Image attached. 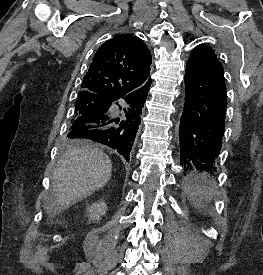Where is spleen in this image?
Instances as JSON below:
<instances>
[{"label":"spleen","instance_id":"3e777b00","mask_svg":"<svg viewBox=\"0 0 263 275\" xmlns=\"http://www.w3.org/2000/svg\"><path fill=\"white\" fill-rule=\"evenodd\" d=\"M212 184V182H211ZM189 189L193 195L203 198L206 195L207 186L202 184H196L193 181L189 182Z\"/></svg>","mask_w":263,"mask_h":275}]
</instances>
